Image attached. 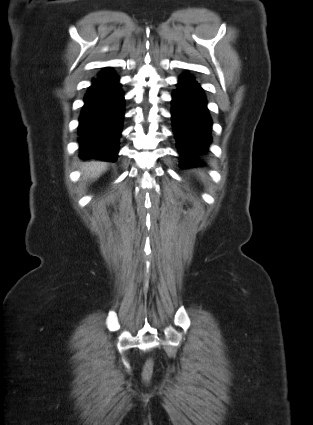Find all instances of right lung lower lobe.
<instances>
[{"label": "right lung lower lobe", "mask_w": 313, "mask_h": 425, "mask_svg": "<svg viewBox=\"0 0 313 425\" xmlns=\"http://www.w3.org/2000/svg\"><path fill=\"white\" fill-rule=\"evenodd\" d=\"M79 118L80 157L115 162L124 115L119 77L108 68L92 80Z\"/></svg>", "instance_id": "1"}]
</instances>
